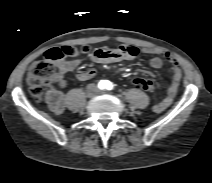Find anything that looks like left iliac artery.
Here are the masks:
<instances>
[{
  "mask_svg": "<svg viewBox=\"0 0 212 183\" xmlns=\"http://www.w3.org/2000/svg\"><path fill=\"white\" fill-rule=\"evenodd\" d=\"M105 85L107 90H112L114 87L113 83L108 80L105 81Z\"/></svg>",
  "mask_w": 212,
  "mask_h": 183,
  "instance_id": "44dca946",
  "label": "left iliac artery"
}]
</instances>
